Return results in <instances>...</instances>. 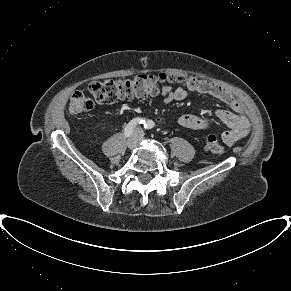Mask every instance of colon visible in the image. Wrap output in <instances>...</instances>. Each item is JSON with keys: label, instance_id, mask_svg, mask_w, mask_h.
Wrapping results in <instances>:
<instances>
[{"label": "colon", "instance_id": "5ec220e1", "mask_svg": "<svg viewBox=\"0 0 291 291\" xmlns=\"http://www.w3.org/2000/svg\"><path fill=\"white\" fill-rule=\"evenodd\" d=\"M190 78L161 73L158 75H138L125 79H105L91 83L85 92H76L69 101V111L80 114L94 107L91 95L97 102L115 103L125 99H145L156 96L172 84L186 85ZM159 121H162L159 119ZM205 149L215 154L226 153L218 138L211 134L206 137Z\"/></svg>", "mask_w": 291, "mask_h": 291}]
</instances>
